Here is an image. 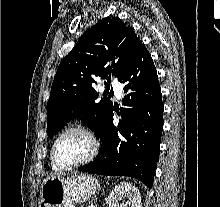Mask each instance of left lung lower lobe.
Here are the masks:
<instances>
[{"label": "left lung lower lobe", "mask_w": 220, "mask_h": 207, "mask_svg": "<svg viewBox=\"0 0 220 207\" xmlns=\"http://www.w3.org/2000/svg\"><path fill=\"white\" fill-rule=\"evenodd\" d=\"M125 95L121 120L113 124V105L96 134L102 147L84 172L130 176L152 187L163 130V105L157 71L141 42L118 77Z\"/></svg>", "instance_id": "1"}]
</instances>
